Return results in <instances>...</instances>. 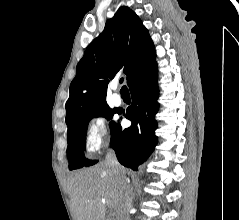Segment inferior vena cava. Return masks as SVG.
<instances>
[{"instance_id":"1","label":"inferior vena cava","mask_w":239,"mask_h":220,"mask_svg":"<svg viewBox=\"0 0 239 220\" xmlns=\"http://www.w3.org/2000/svg\"><path fill=\"white\" fill-rule=\"evenodd\" d=\"M105 163L112 168L118 177L120 193H121V207L119 210L120 220H130L129 211L132 207V199L130 197V188L127 185L126 177L124 175L123 167L119 164L113 150H108Z\"/></svg>"}]
</instances>
